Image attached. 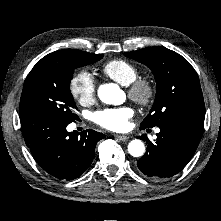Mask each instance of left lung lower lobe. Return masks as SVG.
I'll list each match as a JSON object with an SVG mask.
<instances>
[{
    "mask_svg": "<svg viewBox=\"0 0 221 221\" xmlns=\"http://www.w3.org/2000/svg\"><path fill=\"white\" fill-rule=\"evenodd\" d=\"M203 126L204 115L179 116L163 123L155 143L143 136L148 146L137 162L138 168L153 179L179 173L194 155L203 135Z\"/></svg>",
    "mask_w": 221,
    "mask_h": 221,
    "instance_id": "1",
    "label": "left lung lower lobe"
}]
</instances>
